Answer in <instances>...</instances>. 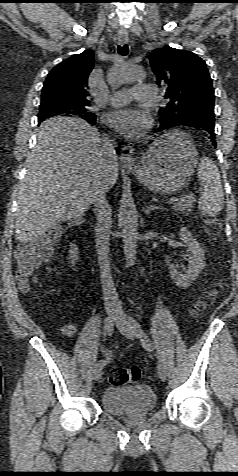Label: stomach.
<instances>
[{"label":"stomach","instance_id":"obj_1","mask_svg":"<svg viewBox=\"0 0 238 476\" xmlns=\"http://www.w3.org/2000/svg\"><path fill=\"white\" fill-rule=\"evenodd\" d=\"M197 164L193 143L183 132L173 130L155 140L131 171L150 190L171 194L188 182Z\"/></svg>","mask_w":238,"mask_h":476}]
</instances>
